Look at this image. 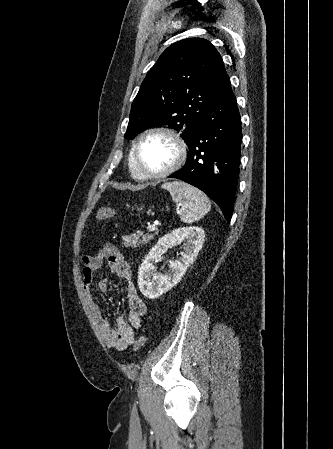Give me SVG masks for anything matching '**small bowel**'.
Returning a JSON list of instances; mask_svg holds the SVG:
<instances>
[{
    "instance_id": "obj_1",
    "label": "small bowel",
    "mask_w": 333,
    "mask_h": 449,
    "mask_svg": "<svg viewBox=\"0 0 333 449\" xmlns=\"http://www.w3.org/2000/svg\"><path fill=\"white\" fill-rule=\"evenodd\" d=\"M82 262V286L87 304L100 334L108 346L120 351L127 349L130 345L134 344L135 330L141 327L142 318L147 311L146 304L138 295L135 285L131 280L132 273L130 265L123 258L118 248L112 243L105 244L96 255L83 257ZM104 262H107L116 277L127 281L128 319L121 316L118 317L115 326H112L103 315L91 292L94 274L101 269ZM110 284V278H102L98 282L99 290L101 292H107Z\"/></svg>"
}]
</instances>
